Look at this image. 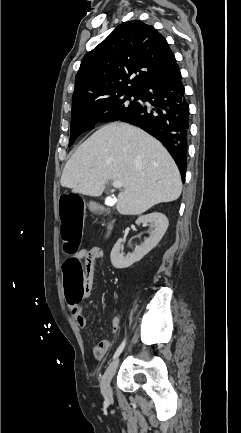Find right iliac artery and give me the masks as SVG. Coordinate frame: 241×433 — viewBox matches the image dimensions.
<instances>
[{
    "label": "right iliac artery",
    "instance_id": "82829eb1",
    "mask_svg": "<svg viewBox=\"0 0 241 433\" xmlns=\"http://www.w3.org/2000/svg\"><path fill=\"white\" fill-rule=\"evenodd\" d=\"M125 343H126V340L124 339L123 342L121 343V345L116 350V352H115V354L113 356V359L117 358L121 354V352L123 351V349L125 347Z\"/></svg>",
    "mask_w": 241,
    "mask_h": 433
}]
</instances>
